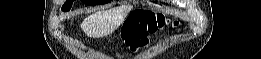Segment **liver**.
<instances>
[{
    "label": "liver",
    "instance_id": "liver-1",
    "mask_svg": "<svg viewBox=\"0 0 261 59\" xmlns=\"http://www.w3.org/2000/svg\"><path fill=\"white\" fill-rule=\"evenodd\" d=\"M123 20L116 10L98 11L83 20L81 29L89 37L100 38L113 33Z\"/></svg>",
    "mask_w": 261,
    "mask_h": 59
}]
</instances>
